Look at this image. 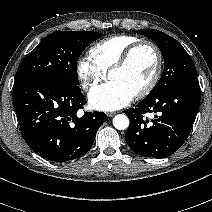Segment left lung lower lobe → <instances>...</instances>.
Listing matches in <instances>:
<instances>
[{
	"mask_svg": "<svg viewBox=\"0 0 212 212\" xmlns=\"http://www.w3.org/2000/svg\"><path fill=\"white\" fill-rule=\"evenodd\" d=\"M200 105L197 76L148 94L135 108L124 111L131 120L125 134L129 147L145 157L165 158L188 138ZM155 113L149 121L146 113Z\"/></svg>",
	"mask_w": 212,
	"mask_h": 212,
	"instance_id": "left-lung-lower-lobe-1",
	"label": "left lung lower lobe"
}]
</instances>
